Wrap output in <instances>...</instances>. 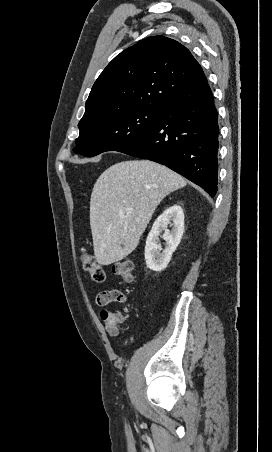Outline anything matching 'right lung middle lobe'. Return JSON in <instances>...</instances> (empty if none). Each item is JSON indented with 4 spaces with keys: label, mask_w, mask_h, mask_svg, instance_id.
<instances>
[{
    "label": "right lung middle lobe",
    "mask_w": 272,
    "mask_h": 452,
    "mask_svg": "<svg viewBox=\"0 0 272 452\" xmlns=\"http://www.w3.org/2000/svg\"><path fill=\"white\" fill-rule=\"evenodd\" d=\"M163 109L131 108L79 122L80 135L75 153L93 157L117 151L142 136L159 118Z\"/></svg>",
    "instance_id": "obj_1"
}]
</instances>
